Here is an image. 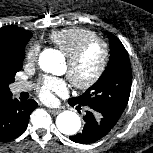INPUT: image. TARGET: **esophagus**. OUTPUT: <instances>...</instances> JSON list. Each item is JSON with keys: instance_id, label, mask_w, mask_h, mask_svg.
<instances>
[{"instance_id": "esophagus-1", "label": "esophagus", "mask_w": 153, "mask_h": 153, "mask_svg": "<svg viewBox=\"0 0 153 153\" xmlns=\"http://www.w3.org/2000/svg\"><path fill=\"white\" fill-rule=\"evenodd\" d=\"M49 111H50L51 114H54V115L60 113V109H53V108H51V109H49Z\"/></svg>"}]
</instances>
